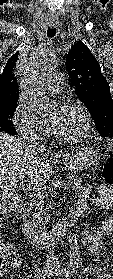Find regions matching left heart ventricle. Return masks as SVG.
I'll list each match as a JSON object with an SVG mask.
<instances>
[{"label": "left heart ventricle", "mask_w": 113, "mask_h": 279, "mask_svg": "<svg viewBox=\"0 0 113 279\" xmlns=\"http://www.w3.org/2000/svg\"><path fill=\"white\" fill-rule=\"evenodd\" d=\"M46 121L63 136H75L84 129L83 115L74 106L52 107L46 116Z\"/></svg>", "instance_id": "left-heart-ventricle-1"}]
</instances>
